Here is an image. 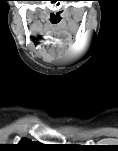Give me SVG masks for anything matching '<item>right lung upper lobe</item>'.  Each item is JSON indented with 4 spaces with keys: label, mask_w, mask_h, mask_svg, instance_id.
Returning a JSON list of instances; mask_svg holds the SVG:
<instances>
[{
    "label": "right lung upper lobe",
    "mask_w": 118,
    "mask_h": 151,
    "mask_svg": "<svg viewBox=\"0 0 118 151\" xmlns=\"http://www.w3.org/2000/svg\"><path fill=\"white\" fill-rule=\"evenodd\" d=\"M18 147H20L21 149H33L36 147V145L31 140L23 138L18 144Z\"/></svg>",
    "instance_id": "cb5924a9"
}]
</instances>
